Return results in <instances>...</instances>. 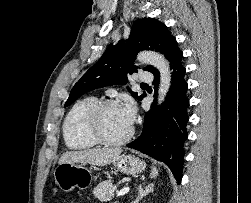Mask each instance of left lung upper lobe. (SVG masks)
Here are the masks:
<instances>
[{"label":"left lung upper lobe","mask_w":251,"mask_h":203,"mask_svg":"<svg viewBox=\"0 0 251 203\" xmlns=\"http://www.w3.org/2000/svg\"><path fill=\"white\" fill-rule=\"evenodd\" d=\"M174 40L175 37L164 23L154 18L136 20L129 38L120 40L116 45L110 44L99 61L74 85L65 107L88 91L114 84H126L127 74L137 72L138 67L133 62L139 51L152 49L166 56ZM144 70L152 73L155 68L148 65ZM131 94L137 97V93L131 91ZM145 95L143 93L138 96V100H142Z\"/></svg>","instance_id":"obj_1"}]
</instances>
